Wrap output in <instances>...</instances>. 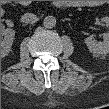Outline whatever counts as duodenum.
<instances>
[{
  "mask_svg": "<svg viewBox=\"0 0 109 109\" xmlns=\"http://www.w3.org/2000/svg\"><path fill=\"white\" fill-rule=\"evenodd\" d=\"M56 5L59 7H70L73 5V3L70 1H57Z\"/></svg>",
  "mask_w": 109,
  "mask_h": 109,
  "instance_id": "1",
  "label": "duodenum"
}]
</instances>
